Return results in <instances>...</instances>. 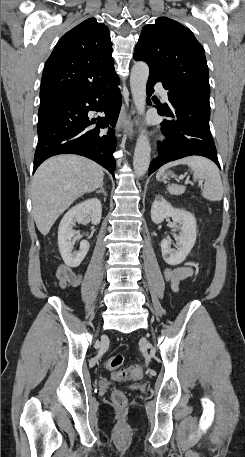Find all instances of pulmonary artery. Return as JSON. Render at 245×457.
<instances>
[{
	"label": "pulmonary artery",
	"mask_w": 245,
	"mask_h": 457,
	"mask_svg": "<svg viewBox=\"0 0 245 457\" xmlns=\"http://www.w3.org/2000/svg\"><path fill=\"white\" fill-rule=\"evenodd\" d=\"M151 90H159V101L160 102H169L170 101V90L169 89H162L163 83L162 81H151L150 83Z\"/></svg>",
	"instance_id": "obj_1"
}]
</instances>
